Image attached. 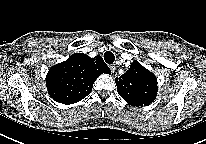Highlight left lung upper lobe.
<instances>
[{
	"label": "left lung upper lobe",
	"mask_w": 206,
	"mask_h": 144,
	"mask_svg": "<svg viewBox=\"0 0 206 144\" xmlns=\"http://www.w3.org/2000/svg\"><path fill=\"white\" fill-rule=\"evenodd\" d=\"M115 82L119 95L129 105L147 106L156 98L158 87L155 75L136 60Z\"/></svg>",
	"instance_id": "left-lung-upper-lobe-1"
}]
</instances>
